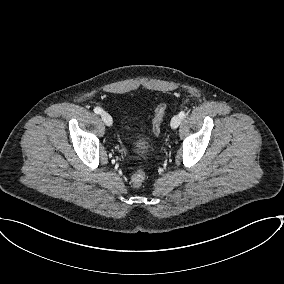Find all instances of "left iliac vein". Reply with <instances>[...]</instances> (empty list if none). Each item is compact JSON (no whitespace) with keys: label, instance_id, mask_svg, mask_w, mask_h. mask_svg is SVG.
I'll return each instance as SVG.
<instances>
[{"label":"left iliac vein","instance_id":"left-iliac-vein-1","mask_svg":"<svg viewBox=\"0 0 284 284\" xmlns=\"http://www.w3.org/2000/svg\"><path fill=\"white\" fill-rule=\"evenodd\" d=\"M181 123V118L179 117V115H175L172 119H171V128L172 129H176Z\"/></svg>","mask_w":284,"mask_h":284}]
</instances>
